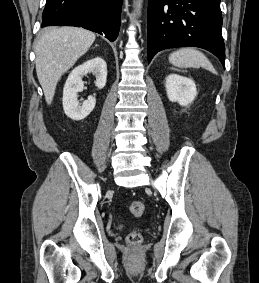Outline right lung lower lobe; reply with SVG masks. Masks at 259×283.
<instances>
[{"mask_svg": "<svg viewBox=\"0 0 259 283\" xmlns=\"http://www.w3.org/2000/svg\"><path fill=\"white\" fill-rule=\"evenodd\" d=\"M123 0H47L42 26L83 27L116 40Z\"/></svg>", "mask_w": 259, "mask_h": 283, "instance_id": "1", "label": "right lung lower lobe"}]
</instances>
